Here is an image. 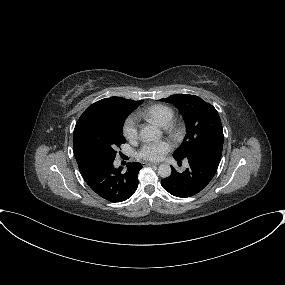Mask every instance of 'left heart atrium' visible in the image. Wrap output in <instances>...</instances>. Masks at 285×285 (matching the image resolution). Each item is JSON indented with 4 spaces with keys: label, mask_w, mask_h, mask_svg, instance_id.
I'll list each match as a JSON object with an SVG mask.
<instances>
[{
    "label": "left heart atrium",
    "mask_w": 285,
    "mask_h": 285,
    "mask_svg": "<svg viewBox=\"0 0 285 285\" xmlns=\"http://www.w3.org/2000/svg\"><path fill=\"white\" fill-rule=\"evenodd\" d=\"M171 148L172 145L168 141L147 142L141 147L139 156L145 160L158 161Z\"/></svg>",
    "instance_id": "obj_1"
}]
</instances>
